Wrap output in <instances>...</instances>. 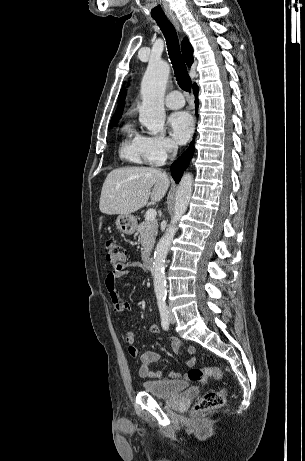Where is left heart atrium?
<instances>
[{"mask_svg":"<svg viewBox=\"0 0 305 461\" xmlns=\"http://www.w3.org/2000/svg\"><path fill=\"white\" fill-rule=\"evenodd\" d=\"M168 123L171 135L178 143H185L190 138L193 131V119L189 113L175 112L169 117Z\"/></svg>","mask_w":305,"mask_h":461,"instance_id":"obj_1","label":"left heart atrium"}]
</instances>
